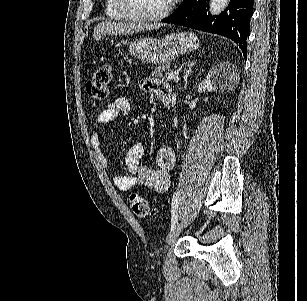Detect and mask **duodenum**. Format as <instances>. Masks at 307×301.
Returning <instances> with one entry per match:
<instances>
[{
    "label": "duodenum",
    "instance_id": "obj_1",
    "mask_svg": "<svg viewBox=\"0 0 307 301\" xmlns=\"http://www.w3.org/2000/svg\"><path fill=\"white\" fill-rule=\"evenodd\" d=\"M160 99L166 107H169L171 104V99H172L171 92L165 93L164 95L160 97Z\"/></svg>",
    "mask_w": 307,
    "mask_h": 301
}]
</instances>
